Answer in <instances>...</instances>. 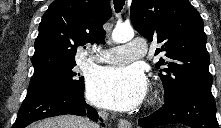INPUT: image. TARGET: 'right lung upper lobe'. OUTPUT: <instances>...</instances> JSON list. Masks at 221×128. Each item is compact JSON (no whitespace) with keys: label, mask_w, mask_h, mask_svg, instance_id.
Instances as JSON below:
<instances>
[{"label":"right lung upper lobe","mask_w":221,"mask_h":128,"mask_svg":"<svg viewBox=\"0 0 221 128\" xmlns=\"http://www.w3.org/2000/svg\"><path fill=\"white\" fill-rule=\"evenodd\" d=\"M110 0H55L42 17L32 58L34 75L75 64L77 48L103 42ZM85 48V46H84Z\"/></svg>","instance_id":"obj_1"}]
</instances>
